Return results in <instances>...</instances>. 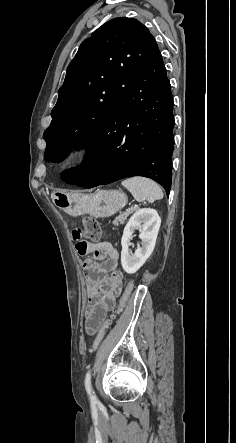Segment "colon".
Wrapping results in <instances>:
<instances>
[{
    "label": "colon",
    "mask_w": 236,
    "mask_h": 443,
    "mask_svg": "<svg viewBox=\"0 0 236 443\" xmlns=\"http://www.w3.org/2000/svg\"><path fill=\"white\" fill-rule=\"evenodd\" d=\"M73 235H74L75 238H80V236L83 235L86 239H88L90 241H98L100 239V237H101V227H100V224L93 217H89V216L84 217V219H83V230L82 231L81 230H75L73 232ZM77 249L81 253H84L86 251V249H87V245L86 244H82V241H80L77 244ZM132 287H133L132 283H129L127 285L126 291H125V293H124V295H123V297H122V299L120 301L119 307L114 312H112L109 315V317L102 324L101 328L99 329L98 333L96 334V336H95V338H94V340L92 342V345H91V348H90V351L92 353H95V352H97L100 349V347L102 345V342L104 340L106 331L109 329V327L111 326L113 320L122 311L123 307L125 306L126 301L128 299V296H129V294H130V292L132 290Z\"/></svg>",
    "instance_id": "1"
}]
</instances>
